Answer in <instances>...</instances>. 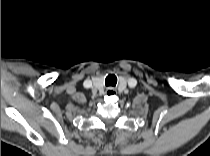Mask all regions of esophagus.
Returning <instances> with one entry per match:
<instances>
[{
	"label": "esophagus",
	"instance_id": "34e87169",
	"mask_svg": "<svg viewBox=\"0 0 210 156\" xmlns=\"http://www.w3.org/2000/svg\"><path fill=\"white\" fill-rule=\"evenodd\" d=\"M106 96H115L117 94V90L112 88V87H108L105 91Z\"/></svg>",
	"mask_w": 210,
	"mask_h": 156
}]
</instances>
